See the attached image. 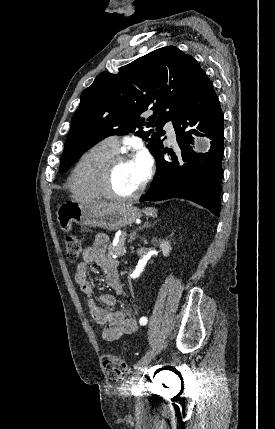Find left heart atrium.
Returning a JSON list of instances; mask_svg holds the SVG:
<instances>
[{"label": "left heart atrium", "mask_w": 275, "mask_h": 429, "mask_svg": "<svg viewBox=\"0 0 275 429\" xmlns=\"http://www.w3.org/2000/svg\"><path fill=\"white\" fill-rule=\"evenodd\" d=\"M133 161L137 167L141 182L145 181L151 165L148 153L145 150L139 151Z\"/></svg>", "instance_id": "39dd6f15"}]
</instances>
